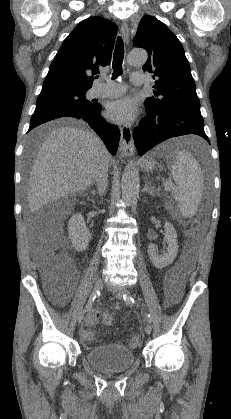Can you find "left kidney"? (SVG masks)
<instances>
[{
	"instance_id": "left-kidney-1",
	"label": "left kidney",
	"mask_w": 231,
	"mask_h": 419,
	"mask_svg": "<svg viewBox=\"0 0 231 419\" xmlns=\"http://www.w3.org/2000/svg\"><path fill=\"white\" fill-rule=\"evenodd\" d=\"M164 228H165L164 241L168 245L167 252L164 253L163 256H159L156 253L155 244L151 243L148 246V254H149L150 260L152 264L158 269H162L170 265L174 261L178 253L177 233L174 226L171 223L166 222L164 225Z\"/></svg>"
}]
</instances>
